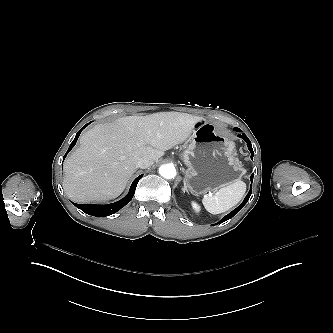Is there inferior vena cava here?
Returning <instances> with one entry per match:
<instances>
[{
    "instance_id": "obj_1",
    "label": "inferior vena cava",
    "mask_w": 333,
    "mask_h": 333,
    "mask_svg": "<svg viewBox=\"0 0 333 333\" xmlns=\"http://www.w3.org/2000/svg\"><path fill=\"white\" fill-rule=\"evenodd\" d=\"M154 161L150 158H146V157H142L140 158L137 163H136V167L137 168H142V169H145V168H148L150 167L151 165H153Z\"/></svg>"
}]
</instances>
